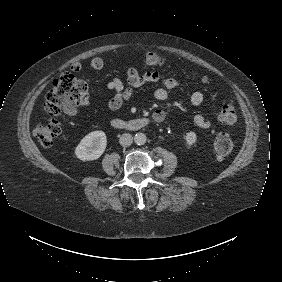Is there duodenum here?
<instances>
[{"label": "duodenum", "instance_id": "obj_1", "mask_svg": "<svg viewBox=\"0 0 282 282\" xmlns=\"http://www.w3.org/2000/svg\"><path fill=\"white\" fill-rule=\"evenodd\" d=\"M164 113L158 112L157 116H153L155 121H163L164 119ZM150 123V119L146 117H140L136 119H132L129 121H123L120 119H112L110 121V125L113 128H129V129H139L146 127Z\"/></svg>", "mask_w": 282, "mask_h": 282}]
</instances>
